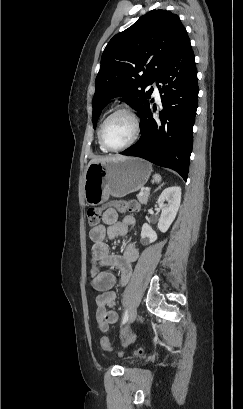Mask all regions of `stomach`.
<instances>
[{
  "mask_svg": "<svg viewBox=\"0 0 243 409\" xmlns=\"http://www.w3.org/2000/svg\"><path fill=\"white\" fill-rule=\"evenodd\" d=\"M151 165L135 157H115L104 162L89 163L84 174V199L97 206L110 196L121 198L140 190L148 181Z\"/></svg>",
  "mask_w": 243,
  "mask_h": 409,
  "instance_id": "0dacf381",
  "label": "stomach"
}]
</instances>
